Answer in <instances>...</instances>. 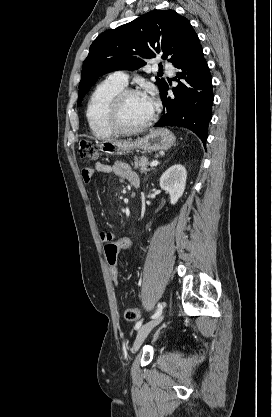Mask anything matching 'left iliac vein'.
<instances>
[{"label":"left iliac vein","instance_id":"obj_1","mask_svg":"<svg viewBox=\"0 0 272 417\" xmlns=\"http://www.w3.org/2000/svg\"><path fill=\"white\" fill-rule=\"evenodd\" d=\"M164 318V315H160L159 317L155 318L154 320H151L147 322L146 324L142 325L140 329L137 332L136 339L134 341L133 350L137 351L140 346L142 345L143 341L147 337V335L150 333V331L157 326Z\"/></svg>","mask_w":272,"mask_h":417}]
</instances>
